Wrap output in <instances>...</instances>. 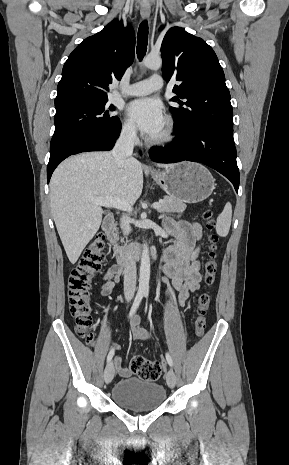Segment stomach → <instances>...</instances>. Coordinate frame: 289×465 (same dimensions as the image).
I'll use <instances>...</instances> for the list:
<instances>
[{"instance_id":"0dacf381","label":"stomach","mask_w":289,"mask_h":465,"mask_svg":"<svg viewBox=\"0 0 289 465\" xmlns=\"http://www.w3.org/2000/svg\"><path fill=\"white\" fill-rule=\"evenodd\" d=\"M153 179L170 196L183 203H198L215 188L214 178L201 164L180 162L164 171L152 172Z\"/></svg>"}]
</instances>
